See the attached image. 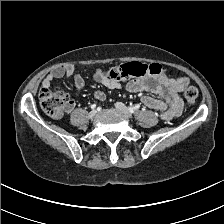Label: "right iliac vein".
<instances>
[{
    "instance_id": "1",
    "label": "right iliac vein",
    "mask_w": 224,
    "mask_h": 224,
    "mask_svg": "<svg viewBox=\"0 0 224 224\" xmlns=\"http://www.w3.org/2000/svg\"><path fill=\"white\" fill-rule=\"evenodd\" d=\"M95 115H96V111H95V110H92V111L88 114V117H89L90 119H92V118L95 117Z\"/></svg>"
}]
</instances>
